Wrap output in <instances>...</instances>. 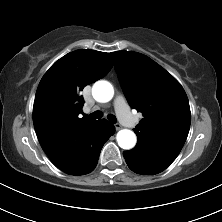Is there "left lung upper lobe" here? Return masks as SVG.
<instances>
[{"instance_id":"left-lung-upper-lobe-1","label":"left lung upper lobe","mask_w":222,"mask_h":222,"mask_svg":"<svg viewBox=\"0 0 222 222\" xmlns=\"http://www.w3.org/2000/svg\"><path fill=\"white\" fill-rule=\"evenodd\" d=\"M129 105L143 114L134 129L136 146L173 162L188 136L191 113L180 83L149 57L131 51L112 52Z\"/></svg>"}]
</instances>
